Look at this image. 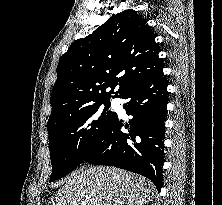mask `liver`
<instances>
[{
	"mask_svg": "<svg viewBox=\"0 0 222 205\" xmlns=\"http://www.w3.org/2000/svg\"><path fill=\"white\" fill-rule=\"evenodd\" d=\"M154 192V185L143 176L96 166L68 177L57 192L56 205H144Z\"/></svg>",
	"mask_w": 222,
	"mask_h": 205,
	"instance_id": "6515ba94",
	"label": "liver"
}]
</instances>
